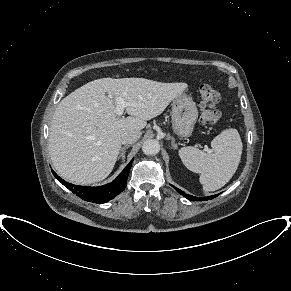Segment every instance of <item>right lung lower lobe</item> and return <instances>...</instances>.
Wrapping results in <instances>:
<instances>
[{"mask_svg": "<svg viewBox=\"0 0 291 291\" xmlns=\"http://www.w3.org/2000/svg\"><path fill=\"white\" fill-rule=\"evenodd\" d=\"M133 161V160H132ZM132 161L124 168L119 176L109 184L99 187L78 186L68 183L61 179L54 171V176L74 194L81 199L97 204L106 203L116 197L126 187V181L130 172Z\"/></svg>", "mask_w": 291, "mask_h": 291, "instance_id": "98d812e1", "label": "right lung lower lobe"}]
</instances>
